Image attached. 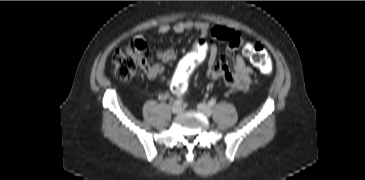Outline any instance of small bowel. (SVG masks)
<instances>
[{"label":"small bowel","instance_id":"c3829d8e","mask_svg":"<svg viewBox=\"0 0 365 180\" xmlns=\"http://www.w3.org/2000/svg\"><path fill=\"white\" fill-rule=\"evenodd\" d=\"M185 31L199 32L200 38L195 50L179 62L172 75H168L165 68L159 64H146L143 70L148 77L168 79L173 84L184 73L204 63L208 80L221 78L229 88L239 92L247 91L250 88L253 70L246 64L240 52L244 40L238 30L223 25H210L202 21L177 22L158 28L160 35L170 32L179 34ZM221 43H225L227 46V52L222 57L219 56ZM155 57L163 63H169L176 59V53L173 49H158L155 51ZM167 96L166 92H161L159 99L165 100Z\"/></svg>","mask_w":365,"mask_h":180}]
</instances>
